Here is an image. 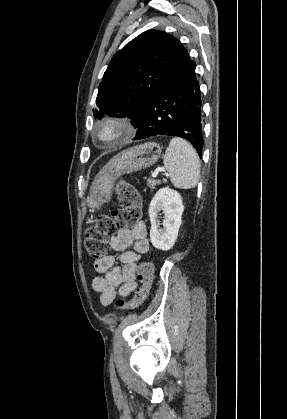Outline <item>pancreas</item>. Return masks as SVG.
Wrapping results in <instances>:
<instances>
[{"label": "pancreas", "instance_id": "obj_1", "mask_svg": "<svg viewBox=\"0 0 287 419\" xmlns=\"http://www.w3.org/2000/svg\"><path fill=\"white\" fill-rule=\"evenodd\" d=\"M161 183L160 180H155V179H148L147 180V186L153 190L155 188L156 185H159Z\"/></svg>", "mask_w": 287, "mask_h": 419}]
</instances>
